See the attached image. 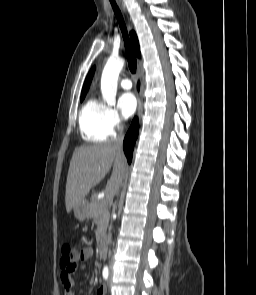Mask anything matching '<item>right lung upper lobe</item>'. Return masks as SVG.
Masks as SVG:
<instances>
[{"instance_id":"obj_1","label":"right lung upper lobe","mask_w":256,"mask_h":295,"mask_svg":"<svg viewBox=\"0 0 256 295\" xmlns=\"http://www.w3.org/2000/svg\"><path fill=\"white\" fill-rule=\"evenodd\" d=\"M130 36H131V41H132V45H133V48H134V51L137 55V57H140V48H139V42H138V39H137V36L135 34V32H130ZM94 71H95V67H93L90 72L88 73L87 77H86V80L84 82V85H83V89H82V94H86L88 89H89V86H90V83H91V80H92V77H93V74H94Z\"/></svg>"}]
</instances>
